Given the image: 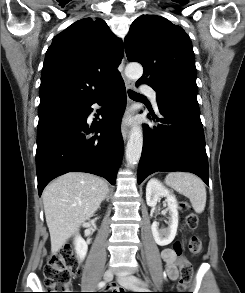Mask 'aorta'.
<instances>
[{"label": "aorta", "mask_w": 245, "mask_h": 293, "mask_svg": "<svg viewBox=\"0 0 245 293\" xmlns=\"http://www.w3.org/2000/svg\"><path fill=\"white\" fill-rule=\"evenodd\" d=\"M143 74V67L139 63H129L125 68V75L130 79H139ZM143 146L142 128L134 125L126 147V160L129 165L137 164L140 160Z\"/></svg>", "instance_id": "obj_1"}]
</instances>
